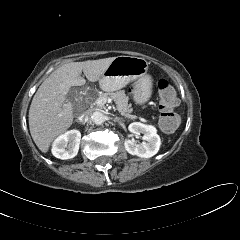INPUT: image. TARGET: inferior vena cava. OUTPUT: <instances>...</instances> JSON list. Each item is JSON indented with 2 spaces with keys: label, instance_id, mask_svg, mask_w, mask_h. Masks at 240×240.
Masks as SVG:
<instances>
[{
  "label": "inferior vena cava",
  "instance_id": "inferior-vena-cava-1",
  "mask_svg": "<svg viewBox=\"0 0 240 240\" xmlns=\"http://www.w3.org/2000/svg\"><path fill=\"white\" fill-rule=\"evenodd\" d=\"M90 117V111H85L83 113L80 114V119L81 120H86Z\"/></svg>",
  "mask_w": 240,
  "mask_h": 240
}]
</instances>
